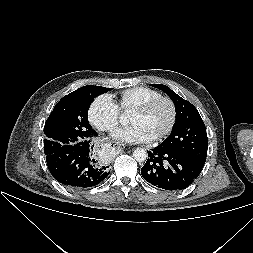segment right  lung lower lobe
I'll return each mask as SVG.
<instances>
[{
	"label": "right lung lower lobe",
	"instance_id": "98d812e1",
	"mask_svg": "<svg viewBox=\"0 0 253 253\" xmlns=\"http://www.w3.org/2000/svg\"><path fill=\"white\" fill-rule=\"evenodd\" d=\"M96 136L95 132L89 140L45 153L48 169L59 183L87 188L98 185L109 175V166L98 158L94 148Z\"/></svg>",
	"mask_w": 253,
	"mask_h": 253
}]
</instances>
